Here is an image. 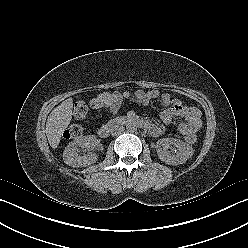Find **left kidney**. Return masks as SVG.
Segmentation results:
<instances>
[{"mask_svg": "<svg viewBox=\"0 0 248 248\" xmlns=\"http://www.w3.org/2000/svg\"><path fill=\"white\" fill-rule=\"evenodd\" d=\"M156 148L159 159L169 165L183 164L194 154L190 145L176 138L160 139ZM169 148H172V151H169Z\"/></svg>", "mask_w": 248, "mask_h": 248, "instance_id": "left-kidney-1", "label": "left kidney"}]
</instances>
